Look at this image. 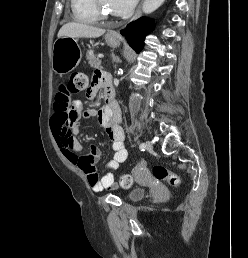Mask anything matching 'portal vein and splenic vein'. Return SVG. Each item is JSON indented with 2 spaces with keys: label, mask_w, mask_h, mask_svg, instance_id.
<instances>
[{
  "label": "portal vein and splenic vein",
  "mask_w": 248,
  "mask_h": 258,
  "mask_svg": "<svg viewBox=\"0 0 248 258\" xmlns=\"http://www.w3.org/2000/svg\"><path fill=\"white\" fill-rule=\"evenodd\" d=\"M103 56L102 55H98V58H102Z\"/></svg>",
  "instance_id": "1"
}]
</instances>
